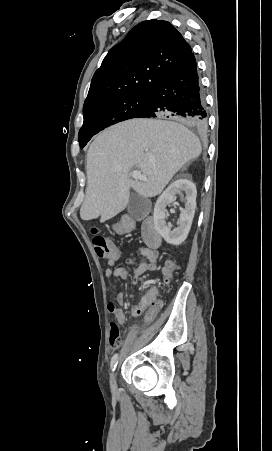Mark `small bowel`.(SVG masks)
<instances>
[{"instance_id":"1","label":"small bowel","mask_w":272,"mask_h":451,"mask_svg":"<svg viewBox=\"0 0 272 451\" xmlns=\"http://www.w3.org/2000/svg\"><path fill=\"white\" fill-rule=\"evenodd\" d=\"M141 254L145 257V261L149 263L148 272H153L158 269L159 266V253L156 249H152L148 246H141L140 247ZM113 258V261L119 260V255L111 256ZM110 263L107 259L108 268L105 271V277L108 281H111L113 279H129L132 284H136L137 280L144 276L145 274H132V271H129L127 267L121 266L119 270H112L110 268ZM148 295V294H147ZM126 303L125 295L122 292H119L115 295V302H109L107 304V310L109 313H111L116 321L119 324H124L126 321V316L123 310V306ZM132 314L137 316L141 313H136L135 309H132Z\"/></svg>"}]
</instances>
